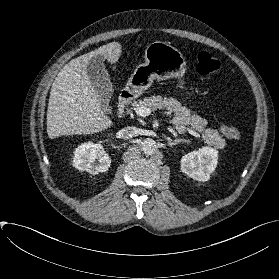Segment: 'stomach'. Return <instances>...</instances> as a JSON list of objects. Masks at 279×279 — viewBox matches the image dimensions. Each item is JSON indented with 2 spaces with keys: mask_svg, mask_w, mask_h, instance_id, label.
Returning a JSON list of instances; mask_svg holds the SVG:
<instances>
[{
  "mask_svg": "<svg viewBox=\"0 0 279 279\" xmlns=\"http://www.w3.org/2000/svg\"><path fill=\"white\" fill-rule=\"evenodd\" d=\"M186 64L185 57L175 47L162 41L152 42L145 50V63L135 69L129 79V86L142 91L148 88L155 78H177L178 86L185 89L182 77L186 72Z\"/></svg>",
  "mask_w": 279,
  "mask_h": 279,
  "instance_id": "1",
  "label": "stomach"
}]
</instances>
